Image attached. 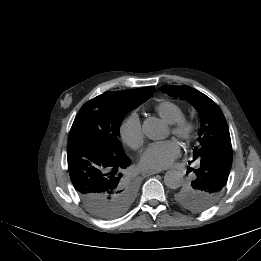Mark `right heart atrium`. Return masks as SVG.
<instances>
[{
  "mask_svg": "<svg viewBox=\"0 0 261 261\" xmlns=\"http://www.w3.org/2000/svg\"><path fill=\"white\" fill-rule=\"evenodd\" d=\"M121 139L133 150L139 149L144 143V134L139 115L130 113L120 125Z\"/></svg>",
  "mask_w": 261,
  "mask_h": 261,
  "instance_id": "obj_1",
  "label": "right heart atrium"
}]
</instances>
